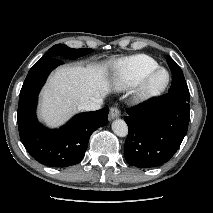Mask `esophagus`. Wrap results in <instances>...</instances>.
Masks as SVG:
<instances>
[{"instance_id": "esophagus-1", "label": "esophagus", "mask_w": 213, "mask_h": 213, "mask_svg": "<svg viewBox=\"0 0 213 213\" xmlns=\"http://www.w3.org/2000/svg\"><path fill=\"white\" fill-rule=\"evenodd\" d=\"M120 115H121L120 110L116 107H113V108L110 109L109 119L111 120V119H114V118H118V117H120Z\"/></svg>"}]
</instances>
